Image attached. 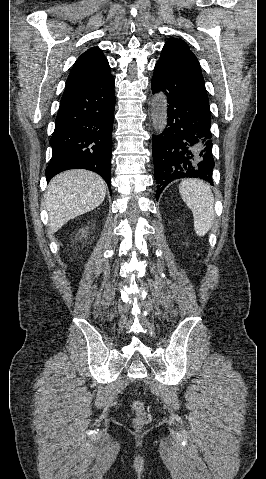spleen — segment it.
<instances>
[{"label": "spleen", "instance_id": "1", "mask_svg": "<svg viewBox=\"0 0 266 479\" xmlns=\"http://www.w3.org/2000/svg\"><path fill=\"white\" fill-rule=\"evenodd\" d=\"M179 193L193 213L196 234L203 237L211 229L215 218L210 186L199 179H184L179 184Z\"/></svg>", "mask_w": 266, "mask_h": 479}]
</instances>
